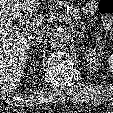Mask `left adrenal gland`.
I'll return each mask as SVG.
<instances>
[{"label":"left adrenal gland","mask_w":113,"mask_h":113,"mask_svg":"<svg viewBox=\"0 0 113 113\" xmlns=\"http://www.w3.org/2000/svg\"><path fill=\"white\" fill-rule=\"evenodd\" d=\"M75 36L77 37V43H79V41L85 37L84 34L79 33V32H76Z\"/></svg>","instance_id":"obj_1"}]
</instances>
